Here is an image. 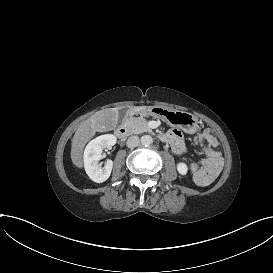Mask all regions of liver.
<instances>
[{
	"label": "liver",
	"instance_id": "1",
	"mask_svg": "<svg viewBox=\"0 0 273 273\" xmlns=\"http://www.w3.org/2000/svg\"><path fill=\"white\" fill-rule=\"evenodd\" d=\"M120 109L121 107H115L97 111L79 125L71 148V159L76 167H83L84 146L95 132H106L116 128Z\"/></svg>",
	"mask_w": 273,
	"mask_h": 273
}]
</instances>
